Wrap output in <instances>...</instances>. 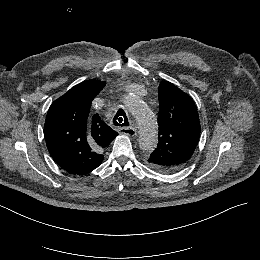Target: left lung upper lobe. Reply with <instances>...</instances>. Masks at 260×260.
Returning <instances> with one entry per match:
<instances>
[{
    "instance_id": "5c2ea615",
    "label": "left lung upper lobe",
    "mask_w": 260,
    "mask_h": 260,
    "mask_svg": "<svg viewBox=\"0 0 260 260\" xmlns=\"http://www.w3.org/2000/svg\"><path fill=\"white\" fill-rule=\"evenodd\" d=\"M159 97V142L146 164L173 173L191 160L200 137L199 116L191 97L170 82H161Z\"/></svg>"
}]
</instances>
